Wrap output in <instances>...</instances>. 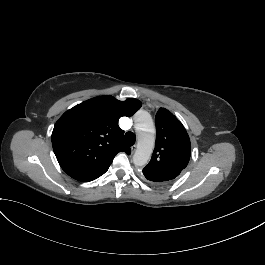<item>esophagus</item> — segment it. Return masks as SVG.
<instances>
[{
  "instance_id": "34e87169",
  "label": "esophagus",
  "mask_w": 265,
  "mask_h": 265,
  "mask_svg": "<svg viewBox=\"0 0 265 265\" xmlns=\"http://www.w3.org/2000/svg\"><path fill=\"white\" fill-rule=\"evenodd\" d=\"M131 149H132V152H134L136 150V145H133Z\"/></svg>"
}]
</instances>
